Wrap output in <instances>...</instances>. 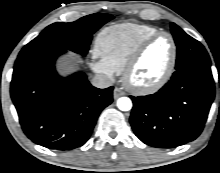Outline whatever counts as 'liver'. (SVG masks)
<instances>
[{
    "label": "liver",
    "mask_w": 220,
    "mask_h": 173,
    "mask_svg": "<svg viewBox=\"0 0 220 173\" xmlns=\"http://www.w3.org/2000/svg\"><path fill=\"white\" fill-rule=\"evenodd\" d=\"M69 54V56L62 57L57 64V69L61 76H66L75 70V60L80 62L77 56L74 57L73 53L69 52Z\"/></svg>",
    "instance_id": "obj_1"
}]
</instances>
